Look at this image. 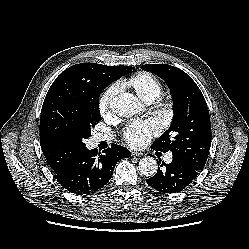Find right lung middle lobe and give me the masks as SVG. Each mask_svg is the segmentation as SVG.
<instances>
[{
    "instance_id": "dd1d6c3e",
    "label": "right lung middle lobe",
    "mask_w": 249,
    "mask_h": 249,
    "mask_svg": "<svg viewBox=\"0 0 249 249\" xmlns=\"http://www.w3.org/2000/svg\"><path fill=\"white\" fill-rule=\"evenodd\" d=\"M104 82L87 85L67 75H59L45 97L40 116V136L71 144L78 151L86 149L85 139L100 120L99 96L102 90L131 66L102 65Z\"/></svg>"
}]
</instances>
